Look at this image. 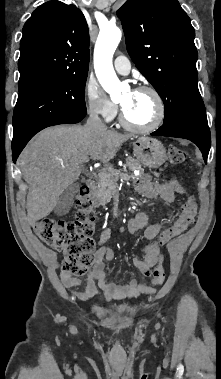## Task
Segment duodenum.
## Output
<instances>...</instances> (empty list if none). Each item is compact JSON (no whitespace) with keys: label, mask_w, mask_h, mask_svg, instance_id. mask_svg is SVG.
Here are the masks:
<instances>
[{"label":"duodenum","mask_w":221,"mask_h":379,"mask_svg":"<svg viewBox=\"0 0 221 379\" xmlns=\"http://www.w3.org/2000/svg\"><path fill=\"white\" fill-rule=\"evenodd\" d=\"M92 188H93V185H92L91 181H85L84 182V184H83V190L90 197L92 196Z\"/></svg>","instance_id":"obj_1"}]
</instances>
